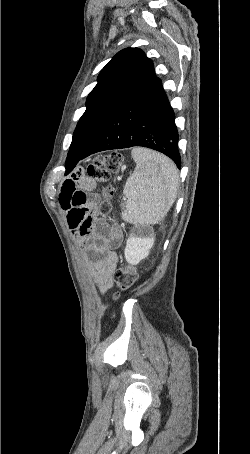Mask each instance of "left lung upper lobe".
Instances as JSON below:
<instances>
[{
    "instance_id": "1",
    "label": "left lung upper lobe",
    "mask_w": 250,
    "mask_h": 454,
    "mask_svg": "<svg viewBox=\"0 0 250 454\" xmlns=\"http://www.w3.org/2000/svg\"><path fill=\"white\" fill-rule=\"evenodd\" d=\"M156 77L152 61L138 48L118 52L101 70L73 133L69 154L79 156L103 123Z\"/></svg>"
}]
</instances>
